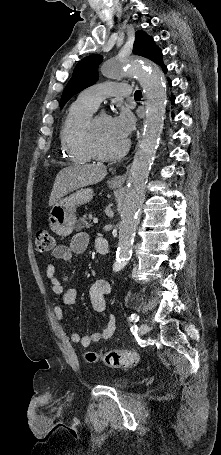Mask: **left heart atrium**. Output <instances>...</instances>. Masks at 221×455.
I'll return each mask as SVG.
<instances>
[{"label":"left heart atrium","instance_id":"1","mask_svg":"<svg viewBox=\"0 0 221 455\" xmlns=\"http://www.w3.org/2000/svg\"><path fill=\"white\" fill-rule=\"evenodd\" d=\"M111 119L113 128L116 133L123 139H126L135 126V119L132 113L126 109H122L115 117Z\"/></svg>","mask_w":221,"mask_h":455}]
</instances>
